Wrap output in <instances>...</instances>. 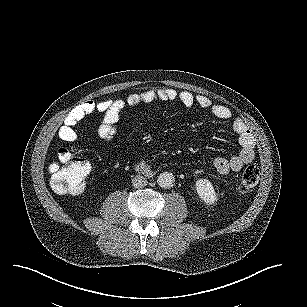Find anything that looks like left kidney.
<instances>
[{
    "label": "left kidney",
    "mask_w": 307,
    "mask_h": 307,
    "mask_svg": "<svg viewBox=\"0 0 307 307\" xmlns=\"http://www.w3.org/2000/svg\"><path fill=\"white\" fill-rule=\"evenodd\" d=\"M199 197L207 204L212 205L217 201V195L212 183L207 179H198L195 183Z\"/></svg>",
    "instance_id": "obj_1"
}]
</instances>
